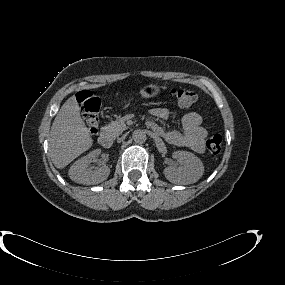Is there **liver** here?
Masks as SVG:
<instances>
[{
  "mask_svg": "<svg viewBox=\"0 0 285 285\" xmlns=\"http://www.w3.org/2000/svg\"><path fill=\"white\" fill-rule=\"evenodd\" d=\"M90 133L80 116L76 97H70L57 113L50 130L49 152L62 169L92 146Z\"/></svg>",
  "mask_w": 285,
  "mask_h": 285,
  "instance_id": "6515ba94",
  "label": "liver"
}]
</instances>
